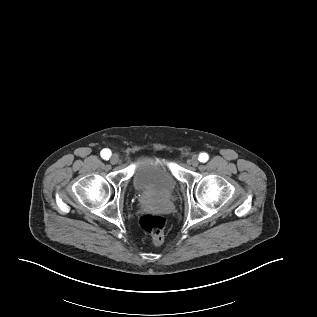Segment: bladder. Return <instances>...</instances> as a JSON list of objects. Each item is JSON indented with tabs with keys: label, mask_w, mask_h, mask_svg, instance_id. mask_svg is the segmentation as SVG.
<instances>
[{
	"label": "bladder",
	"mask_w": 317,
	"mask_h": 317,
	"mask_svg": "<svg viewBox=\"0 0 317 317\" xmlns=\"http://www.w3.org/2000/svg\"><path fill=\"white\" fill-rule=\"evenodd\" d=\"M132 183L135 190L146 200L164 199L173 194L177 180L161 161L144 158L136 165Z\"/></svg>",
	"instance_id": "bladder-1"
}]
</instances>
